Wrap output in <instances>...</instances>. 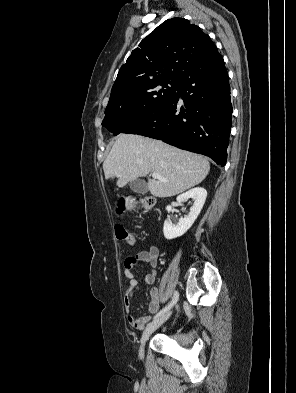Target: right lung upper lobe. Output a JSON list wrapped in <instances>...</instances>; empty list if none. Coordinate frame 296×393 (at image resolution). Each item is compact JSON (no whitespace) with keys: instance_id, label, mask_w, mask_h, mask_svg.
Masks as SVG:
<instances>
[{"instance_id":"right-lung-upper-lobe-1","label":"right lung upper lobe","mask_w":296,"mask_h":393,"mask_svg":"<svg viewBox=\"0 0 296 393\" xmlns=\"http://www.w3.org/2000/svg\"><path fill=\"white\" fill-rule=\"evenodd\" d=\"M214 45L189 20L167 19L131 52L117 75L109 102L133 98L159 82H177Z\"/></svg>"}]
</instances>
